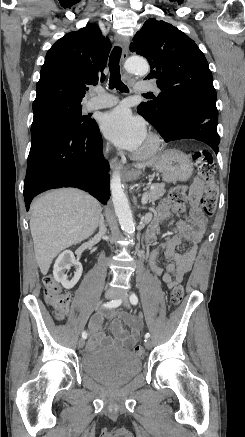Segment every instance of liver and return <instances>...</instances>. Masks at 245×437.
<instances>
[{
	"label": "liver",
	"mask_w": 245,
	"mask_h": 437,
	"mask_svg": "<svg viewBox=\"0 0 245 437\" xmlns=\"http://www.w3.org/2000/svg\"><path fill=\"white\" fill-rule=\"evenodd\" d=\"M101 211L94 197L73 188L48 192L32 203L30 230L43 275L48 273L58 253L93 234Z\"/></svg>",
	"instance_id": "6515ba94"
}]
</instances>
